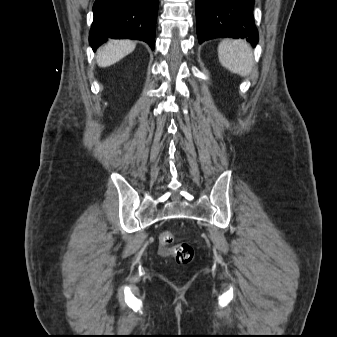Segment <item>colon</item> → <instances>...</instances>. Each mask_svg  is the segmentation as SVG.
<instances>
[{
  "instance_id": "colon-1",
  "label": "colon",
  "mask_w": 337,
  "mask_h": 337,
  "mask_svg": "<svg viewBox=\"0 0 337 337\" xmlns=\"http://www.w3.org/2000/svg\"><path fill=\"white\" fill-rule=\"evenodd\" d=\"M174 236L170 231L164 230L159 233L158 242L163 253H171L178 262H189L193 258V249L187 243L173 245Z\"/></svg>"
}]
</instances>
